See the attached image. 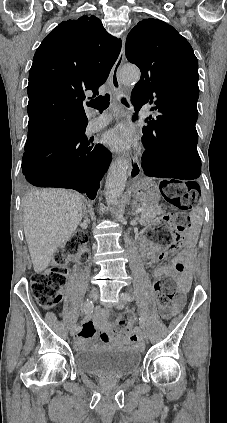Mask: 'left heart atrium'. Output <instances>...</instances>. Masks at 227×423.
Returning <instances> with one entry per match:
<instances>
[{
	"instance_id": "obj_1",
	"label": "left heart atrium",
	"mask_w": 227,
	"mask_h": 423,
	"mask_svg": "<svg viewBox=\"0 0 227 423\" xmlns=\"http://www.w3.org/2000/svg\"><path fill=\"white\" fill-rule=\"evenodd\" d=\"M103 142L112 150L123 151L138 145V135L133 128L121 126L106 132Z\"/></svg>"
}]
</instances>
